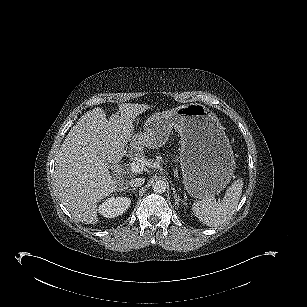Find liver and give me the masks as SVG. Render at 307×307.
I'll use <instances>...</instances> for the list:
<instances>
[{
	"label": "liver",
	"instance_id": "1",
	"mask_svg": "<svg viewBox=\"0 0 307 307\" xmlns=\"http://www.w3.org/2000/svg\"><path fill=\"white\" fill-rule=\"evenodd\" d=\"M148 105L120 104L121 115L110 119L102 108L83 115L70 130L55 157L53 184L72 217L86 224H96L97 203L122 185L123 176L111 175L109 165L121 161L130 142L140 151L146 144L132 136V119Z\"/></svg>",
	"mask_w": 307,
	"mask_h": 307
}]
</instances>
